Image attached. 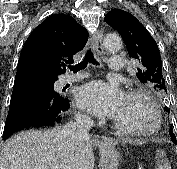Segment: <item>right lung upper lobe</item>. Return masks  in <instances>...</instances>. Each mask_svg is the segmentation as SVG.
Wrapping results in <instances>:
<instances>
[{
  "label": "right lung upper lobe",
  "mask_w": 177,
  "mask_h": 169,
  "mask_svg": "<svg viewBox=\"0 0 177 169\" xmlns=\"http://www.w3.org/2000/svg\"><path fill=\"white\" fill-rule=\"evenodd\" d=\"M88 33L72 17L54 14L44 20L28 37L20 54L17 72L46 73L57 77L65 64L82 50Z\"/></svg>",
  "instance_id": "right-lung-upper-lobe-1"
}]
</instances>
